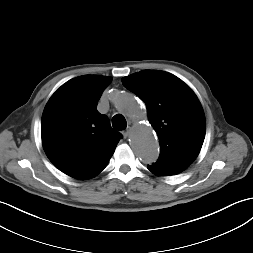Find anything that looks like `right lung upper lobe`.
Returning a JSON list of instances; mask_svg holds the SVG:
<instances>
[{"label": "right lung upper lobe", "instance_id": "1", "mask_svg": "<svg viewBox=\"0 0 253 253\" xmlns=\"http://www.w3.org/2000/svg\"><path fill=\"white\" fill-rule=\"evenodd\" d=\"M112 78L83 75L49 99L41 120L42 144L50 161L76 179H90L108 164L123 137L96 107Z\"/></svg>", "mask_w": 253, "mask_h": 253}]
</instances>
